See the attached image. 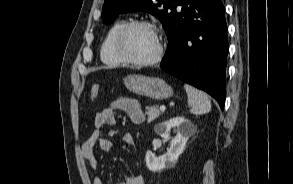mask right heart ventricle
Segmentation results:
<instances>
[{
	"instance_id": "e07e8e85",
	"label": "right heart ventricle",
	"mask_w": 293,
	"mask_h": 184,
	"mask_svg": "<svg viewBox=\"0 0 293 184\" xmlns=\"http://www.w3.org/2000/svg\"><path fill=\"white\" fill-rule=\"evenodd\" d=\"M126 20H119L112 25L105 35L101 47L100 58L101 61L108 66H119L123 62L115 55L113 50V39L117 31L126 23Z\"/></svg>"
}]
</instances>
